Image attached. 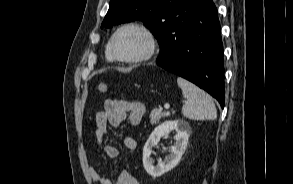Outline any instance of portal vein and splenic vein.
Wrapping results in <instances>:
<instances>
[{
  "mask_svg": "<svg viewBox=\"0 0 293 184\" xmlns=\"http://www.w3.org/2000/svg\"><path fill=\"white\" fill-rule=\"evenodd\" d=\"M164 108H165V109H169V108H170V105H169V104H165V105H164Z\"/></svg>",
  "mask_w": 293,
  "mask_h": 184,
  "instance_id": "1",
  "label": "portal vein and splenic vein"
}]
</instances>
